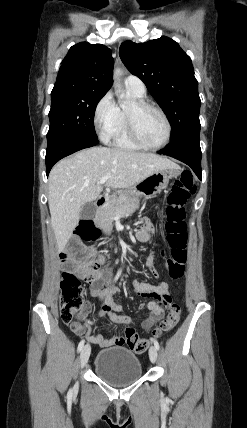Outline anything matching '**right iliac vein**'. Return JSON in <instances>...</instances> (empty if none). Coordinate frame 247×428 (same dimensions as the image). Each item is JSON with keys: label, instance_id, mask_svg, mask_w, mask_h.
I'll list each match as a JSON object with an SVG mask.
<instances>
[{"label": "right iliac vein", "instance_id": "obj_1", "mask_svg": "<svg viewBox=\"0 0 247 428\" xmlns=\"http://www.w3.org/2000/svg\"><path fill=\"white\" fill-rule=\"evenodd\" d=\"M90 353H91V347L89 344H86L80 353V366L81 368H83L86 363L88 362V359L90 357Z\"/></svg>", "mask_w": 247, "mask_h": 428}]
</instances>
